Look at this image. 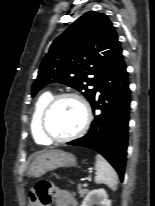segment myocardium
<instances>
[{
	"instance_id": "obj_1",
	"label": "myocardium",
	"mask_w": 155,
	"mask_h": 206,
	"mask_svg": "<svg viewBox=\"0 0 155 206\" xmlns=\"http://www.w3.org/2000/svg\"><path fill=\"white\" fill-rule=\"evenodd\" d=\"M66 98L75 99L80 104L82 111H83V122L80 128L76 132L66 137H62V138L54 137L47 130V126H46L47 117L50 111L52 110V108L54 107V105L60 100L66 99ZM91 119H92V114H91L90 106L87 100L83 96H81L80 94L76 92H63V93H59L53 96L50 99V101L47 103L45 108L43 109V112L40 117V129H41V133L43 134V136L49 142L64 143V142H67V141H70V140H73V139H76L82 136L88 130L90 123H91Z\"/></svg>"
}]
</instances>
